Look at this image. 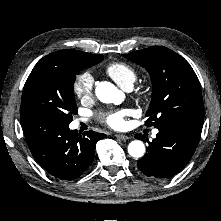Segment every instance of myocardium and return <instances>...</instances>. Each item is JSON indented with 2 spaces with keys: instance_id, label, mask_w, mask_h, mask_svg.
<instances>
[{
  "instance_id": "1",
  "label": "myocardium",
  "mask_w": 221,
  "mask_h": 221,
  "mask_svg": "<svg viewBox=\"0 0 221 221\" xmlns=\"http://www.w3.org/2000/svg\"><path fill=\"white\" fill-rule=\"evenodd\" d=\"M138 94H139L140 96H145V91H139Z\"/></svg>"
}]
</instances>
